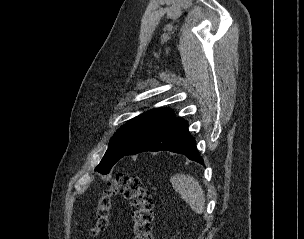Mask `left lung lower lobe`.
<instances>
[{
  "label": "left lung lower lobe",
  "instance_id": "1",
  "mask_svg": "<svg viewBox=\"0 0 304 239\" xmlns=\"http://www.w3.org/2000/svg\"><path fill=\"white\" fill-rule=\"evenodd\" d=\"M162 150L183 154L188 159L203 164V159L196 149L195 140L188 132V123L180 117L174 118L155 130L124 156Z\"/></svg>",
  "mask_w": 304,
  "mask_h": 239
}]
</instances>
